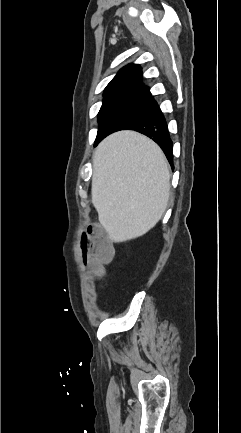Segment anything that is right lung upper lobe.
I'll use <instances>...</instances> for the list:
<instances>
[{
  "label": "right lung upper lobe",
  "instance_id": "right-lung-upper-lobe-1",
  "mask_svg": "<svg viewBox=\"0 0 241 433\" xmlns=\"http://www.w3.org/2000/svg\"><path fill=\"white\" fill-rule=\"evenodd\" d=\"M103 96L106 100L120 96H151V93L142 82L140 66L130 64L122 68L110 81Z\"/></svg>",
  "mask_w": 241,
  "mask_h": 433
}]
</instances>
